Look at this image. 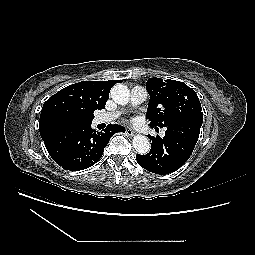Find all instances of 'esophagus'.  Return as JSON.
I'll return each instance as SVG.
<instances>
[{
  "mask_svg": "<svg viewBox=\"0 0 255 255\" xmlns=\"http://www.w3.org/2000/svg\"><path fill=\"white\" fill-rule=\"evenodd\" d=\"M134 133H135V132L132 130V128L128 127V128L126 129V134H127L128 136H133Z\"/></svg>",
  "mask_w": 255,
  "mask_h": 255,
  "instance_id": "esophagus-1",
  "label": "esophagus"
}]
</instances>
